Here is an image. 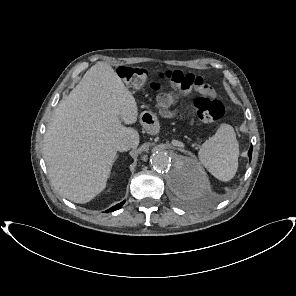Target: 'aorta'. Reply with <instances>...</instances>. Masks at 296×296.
I'll use <instances>...</instances> for the list:
<instances>
[{
  "label": "aorta",
  "mask_w": 296,
  "mask_h": 296,
  "mask_svg": "<svg viewBox=\"0 0 296 296\" xmlns=\"http://www.w3.org/2000/svg\"><path fill=\"white\" fill-rule=\"evenodd\" d=\"M150 162L156 172L164 175L168 192L176 201H198L208 193V180L192 158L167 151H156Z\"/></svg>",
  "instance_id": "762f6f07"
}]
</instances>
